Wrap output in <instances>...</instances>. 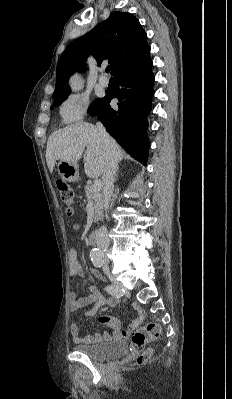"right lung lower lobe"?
Masks as SVG:
<instances>
[{
  "label": "right lung lower lobe",
  "instance_id": "obj_1",
  "mask_svg": "<svg viewBox=\"0 0 232 399\" xmlns=\"http://www.w3.org/2000/svg\"><path fill=\"white\" fill-rule=\"evenodd\" d=\"M149 53L116 70L113 75L117 87L114 91L106 92L99 106L89 112L92 116L98 115L106 131L134 159L143 164H146L148 157L147 115L151 110L154 94V76ZM113 98L119 101L117 111L109 105Z\"/></svg>",
  "mask_w": 232,
  "mask_h": 399
}]
</instances>
